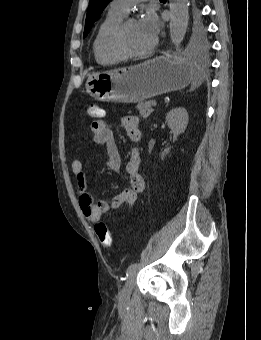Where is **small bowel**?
I'll use <instances>...</instances> for the list:
<instances>
[{"label":"small bowel","instance_id":"1","mask_svg":"<svg viewBox=\"0 0 261 340\" xmlns=\"http://www.w3.org/2000/svg\"><path fill=\"white\" fill-rule=\"evenodd\" d=\"M103 117V116H102ZM100 119L91 124L93 141L105 148L106 164L109 169L116 171L121 166V158L116 144L114 132L107 126L106 122ZM121 125L128 134L130 140L137 143L141 138L138 126V119L135 116H125L121 119ZM140 152L138 148H133L131 156L125 165V170L129 175L130 186L116 195L110 202L105 200L94 201L93 195L88 191V179L81 160L74 159L71 164L72 172L75 176L79 204L84 216L91 222H98L110 210L123 208L126 214L135 204L137 197L143 192L145 182L140 174Z\"/></svg>","mask_w":261,"mask_h":340}]
</instances>
